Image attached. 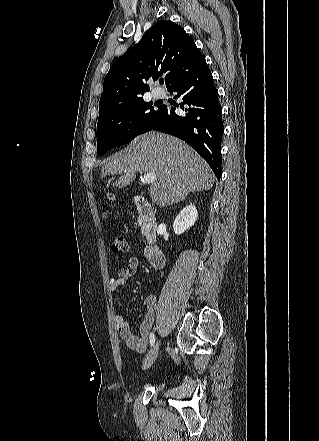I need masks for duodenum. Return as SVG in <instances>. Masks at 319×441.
<instances>
[{"label":"duodenum","mask_w":319,"mask_h":441,"mask_svg":"<svg viewBox=\"0 0 319 441\" xmlns=\"http://www.w3.org/2000/svg\"><path fill=\"white\" fill-rule=\"evenodd\" d=\"M133 201L145 222L144 233L148 240L145 247V256L154 268H162L165 265V254L163 250L152 241L154 227L156 225L152 204L142 196H135Z\"/></svg>","instance_id":"duodenum-1"}]
</instances>
